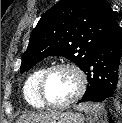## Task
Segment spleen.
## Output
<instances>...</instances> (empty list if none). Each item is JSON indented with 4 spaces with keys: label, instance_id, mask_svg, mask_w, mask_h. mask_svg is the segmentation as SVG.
<instances>
[{
    "label": "spleen",
    "instance_id": "spleen-1",
    "mask_svg": "<svg viewBox=\"0 0 122 123\" xmlns=\"http://www.w3.org/2000/svg\"><path fill=\"white\" fill-rule=\"evenodd\" d=\"M76 109L85 112L88 123H107V112L101 104L91 102L83 103L76 106Z\"/></svg>",
    "mask_w": 122,
    "mask_h": 123
}]
</instances>
